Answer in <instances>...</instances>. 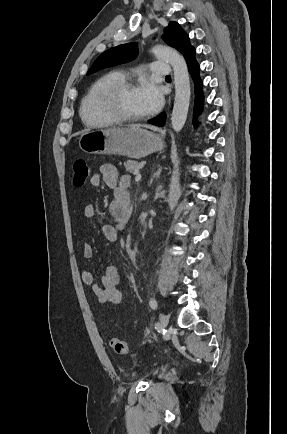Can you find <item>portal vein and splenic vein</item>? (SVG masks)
<instances>
[{
	"instance_id": "obj_1",
	"label": "portal vein and splenic vein",
	"mask_w": 287,
	"mask_h": 434,
	"mask_svg": "<svg viewBox=\"0 0 287 434\" xmlns=\"http://www.w3.org/2000/svg\"><path fill=\"white\" fill-rule=\"evenodd\" d=\"M141 177H142V175L139 171L135 173V181L136 182H139L141 180Z\"/></svg>"
}]
</instances>
